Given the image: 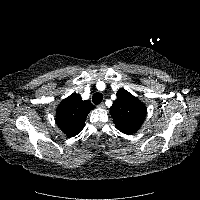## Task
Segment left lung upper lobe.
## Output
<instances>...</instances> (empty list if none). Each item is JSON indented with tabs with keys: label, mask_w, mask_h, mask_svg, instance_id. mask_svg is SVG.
<instances>
[{
	"label": "left lung upper lobe",
	"mask_w": 200,
	"mask_h": 200,
	"mask_svg": "<svg viewBox=\"0 0 200 200\" xmlns=\"http://www.w3.org/2000/svg\"><path fill=\"white\" fill-rule=\"evenodd\" d=\"M146 113L145 105L125 89L117 92V99L110 108L116 128L128 135L139 130Z\"/></svg>",
	"instance_id": "1"
}]
</instances>
